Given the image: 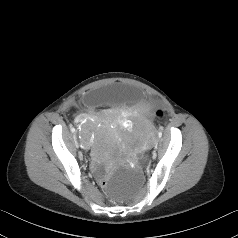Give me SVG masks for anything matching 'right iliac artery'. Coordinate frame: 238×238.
<instances>
[{"label":"right iliac artery","instance_id":"1","mask_svg":"<svg viewBox=\"0 0 238 238\" xmlns=\"http://www.w3.org/2000/svg\"><path fill=\"white\" fill-rule=\"evenodd\" d=\"M71 132L74 133L75 132V128L71 127Z\"/></svg>","mask_w":238,"mask_h":238}]
</instances>
